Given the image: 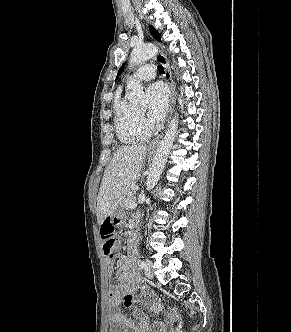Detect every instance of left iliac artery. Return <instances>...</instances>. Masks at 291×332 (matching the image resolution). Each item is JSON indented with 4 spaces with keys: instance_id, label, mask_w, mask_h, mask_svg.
I'll list each match as a JSON object with an SVG mask.
<instances>
[{
    "instance_id": "obj_1",
    "label": "left iliac artery",
    "mask_w": 291,
    "mask_h": 332,
    "mask_svg": "<svg viewBox=\"0 0 291 332\" xmlns=\"http://www.w3.org/2000/svg\"><path fill=\"white\" fill-rule=\"evenodd\" d=\"M139 266H140L142 269H145V268H146V263H145L143 260H140V261H139Z\"/></svg>"
}]
</instances>
